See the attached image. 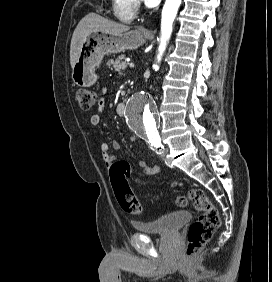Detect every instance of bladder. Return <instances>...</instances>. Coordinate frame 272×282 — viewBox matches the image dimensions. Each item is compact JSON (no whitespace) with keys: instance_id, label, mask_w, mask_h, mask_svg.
Wrapping results in <instances>:
<instances>
[{"instance_id":"bladder-1","label":"bladder","mask_w":272,"mask_h":282,"mask_svg":"<svg viewBox=\"0 0 272 282\" xmlns=\"http://www.w3.org/2000/svg\"><path fill=\"white\" fill-rule=\"evenodd\" d=\"M189 219L188 211H178L152 221H133L132 224L135 230L144 234H171Z\"/></svg>"}]
</instances>
